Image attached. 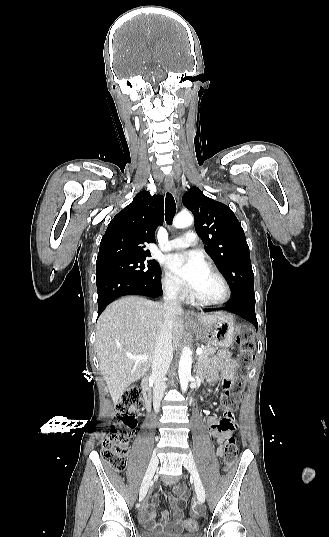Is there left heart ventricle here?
Segmentation results:
<instances>
[{
	"mask_svg": "<svg viewBox=\"0 0 329 537\" xmlns=\"http://www.w3.org/2000/svg\"><path fill=\"white\" fill-rule=\"evenodd\" d=\"M193 294L204 299H217L222 296L223 289L218 279L206 269Z\"/></svg>",
	"mask_w": 329,
	"mask_h": 537,
	"instance_id": "obj_1",
	"label": "left heart ventricle"
}]
</instances>
